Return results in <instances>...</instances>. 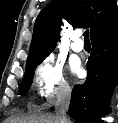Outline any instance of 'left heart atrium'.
<instances>
[{"label":"left heart atrium","mask_w":118,"mask_h":123,"mask_svg":"<svg viewBox=\"0 0 118 123\" xmlns=\"http://www.w3.org/2000/svg\"><path fill=\"white\" fill-rule=\"evenodd\" d=\"M72 71H73L75 74H80L81 68H80V66H79L78 64H74V65L72 66Z\"/></svg>","instance_id":"obj_1"}]
</instances>
